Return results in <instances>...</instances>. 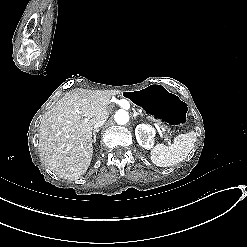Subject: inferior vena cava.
Returning a JSON list of instances; mask_svg holds the SVG:
<instances>
[{"instance_id":"inferior-vena-cava-1","label":"inferior vena cava","mask_w":247,"mask_h":247,"mask_svg":"<svg viewBox=\"0 0 247 247\" xmlns=\"http://www.w3.org/2000/svg\"><path fill=\"white\" fill-rule=\"evenodd\" d=\"M106 120H107L106 118L98 120V121L93 125V128H94L95 130L99 129L100 127H102V126L104 125V123H105Z\"/></svg>"}]
</instances>
